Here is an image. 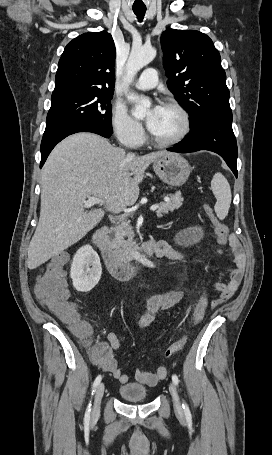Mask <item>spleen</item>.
I'll list each match as a JSON object with an SVG mask.
<instances>
[{
    "mask_svg": "<svg viewBox=\"0 0 272 455\" xmlns=\"http://www.w3.org/2000/svg\"><path fill=\"white\" fill-rule=\"evenodd\" d=\"M212 192L217 200L214 209L217 217L223 220L231 204V189L227 179L221 173H215L211 181Z\"/></svg>",
    "mask_w": 272,
    "mask_h": 455,
    "instance_id": "1",
    "label": "spleen"
}]
</instances>
